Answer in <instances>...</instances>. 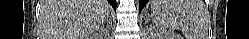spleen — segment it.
Masks as SVG:
<instances>
[{
	"instance_id": "3e777b00",
	"label": "spleen",
	"mask_w": 249,
	"mask_h": 39,
	"mask_svg": "<svg viewBox=\"0 0 249 39\" xmlns=\"http://www.w3.org/2000/svg\"><path fill=\"white\" fill-rule=\"evenodd\" d=\"M152 21L176 37L181 30L187 39H206L209 13L202 0H151Z\"/></svg>"
}]
</instances>
